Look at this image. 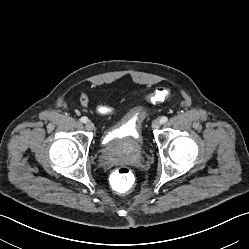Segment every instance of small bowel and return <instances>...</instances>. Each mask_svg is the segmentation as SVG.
<instances>
[{
  "instance_id": "c3829d8e",
  "label": "small bowel",
  "mask_w": 249,
  "mask_h": 249,
  "mask_svg": "<svg viewBox=\"0 0 249 249\" xmlns=\"http://www.w3.org/2000/svg\"><path fill=\"white\" fill-rule=\"evenodd\" d=\"M79 99L83 108H87L89 106V98L85 91L79 90ZM97 111L103 115H110L114 113V110L107 106H98Z\"/></svg>"
}]
</instances>
